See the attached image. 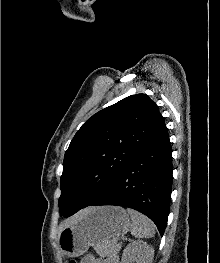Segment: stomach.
<instances>
[{
    "label": "stomach",
    "mask_w": 220,
    "mask_h": 263,
    "mask_svg": "<svg viewBox=\"0 0 220 263\" xmlns=\"http://www.w3.org/2000/svg\"><path fill=\"white\" fill-rule=\"evenodd\" d=\"M130 227V218L124 208L92 207L60 232L58 244L64 255L77 257L90 246L100 248L109 243L111 238L126 234Z\"/></svg>",
    "instance_id": "0dacf381"
}]
</instances>
